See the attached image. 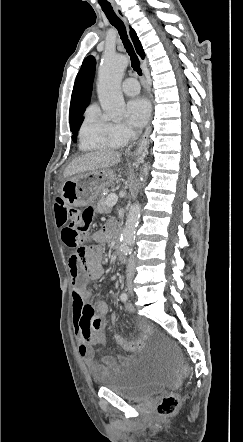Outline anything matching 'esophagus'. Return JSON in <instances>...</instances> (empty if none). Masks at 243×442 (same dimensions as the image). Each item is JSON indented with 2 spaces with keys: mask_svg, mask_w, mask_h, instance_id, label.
Wrapping results in <instances>:
<instances>
[{
  "mask_svg": "<svg viewBox=\"0 0 243 442\" xmlns=\"http://www.w3.org/2000/svg\"><path fill=\"white\" fill-rule=\"evenodd\" d=\"M115 11L117 13V15L123 20V22L125 23L126 27L128 28V23L127 20L125 18V15L123 13V11L121 10L120 7H116ZM152 130V126L149 123L148 126L145 129L144 134L142 135L141 139L138 142L137 148L134 152V157L135 158H140L143 157V155H145V153L148 150V144H149V135L151 133Z\"/></svg>",
  "mask_w": 243,
  "mask_h": 442,
  "instance_id": "esophagus-1",
  "label": "esophagus"
}]
</instances>
